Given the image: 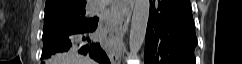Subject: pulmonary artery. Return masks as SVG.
<instances>
[{
    "instance_id": "obj_1",
    "label": "pulmonary artery",
    "mask_w": 242,
    "mask_h": 64,
    "mask_svg": "<svg viewBox=\"0 0 242 64\" xmlns=\"http://www.w3.org/2000/svg\"><path fill=\"white\" fill-rule=\"evenodd\" d=\"M105 7V4L102 1H97L93 6L92 10L93 11H100Z\"/></svg>"
}]
</instances>
